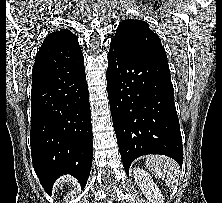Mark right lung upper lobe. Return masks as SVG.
I'll return each instance as SVG.
<instances>
[{"label": "right lung upper lobe", "instance_id": "right-lung-upper-lobe-1", "mask_svg": "<svg viewBox=\"0 0 222 203\" xmlns=\"http://www.w3.org/2000/svg\"><path fill=\"white\" fill-rule=\"evenodd\" d=\"M84 61L77 37L68 29L46 36L35 59L33 70L73 65Z\"/></svg>", "mask_w": 222, "mask_h": 203}]
</instances>
